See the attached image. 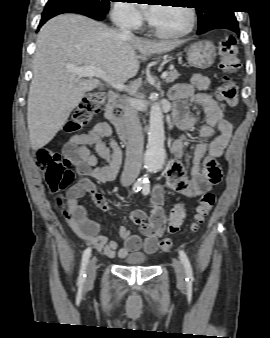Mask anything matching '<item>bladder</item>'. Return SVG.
Listing matches in <instances>:
<instances>
[{
  "label": "bladder",
  "instance_id": "31cf9c89",
  "mask_svg": "<svg viewBox=\"0 0 270 338\" xmlns=\"http://www.w3.org/2000/svg\"><path fill=\"white\" fill-rule=\"evenodd\" d=\"M148 257L144 254H132L125 257L124 262L130 267H142L146 265Z\"/></svg>",
  "mask_w": 270,
  "mask_h": 338
}]
</instances>
